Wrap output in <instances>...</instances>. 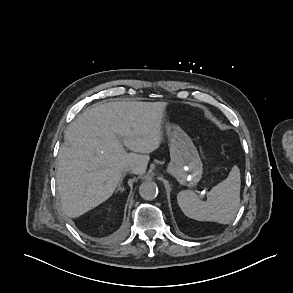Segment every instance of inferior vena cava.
Instances as JSON below:
<instances>
[{
    "label": "inferior vena cava",
    "mask_w": 293,
    "mask_h": 293,
    "mask_svg": "<svg viewBox=\"0 0 293 293\" xmlns=\"http://www.w3.org/2000/svg\"><path fill=\"white\" fill-rule=\"evenodd\" d=\"M133 171H134V168L131 167V166L125 167V168L123 169V173H125V172H133Z\"/></svg>",
    "instance_id": "602c4592"
}]
</instances>
